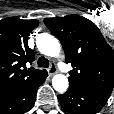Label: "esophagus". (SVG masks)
Returning a JSON list of instances; mask_svg holds the SVG:
<instances>
[{
  "label": "esophagus",
  "instance_id": "esophagus-1",
  "mask_svg": "<svg viewBox=\"0 0 114 114\" xmlns=\"http://www.w3.org/2000/svg\"><path fill=\"white\" fill-rule=\"evenodd\" d=\"M48 73L50 76H53L57 73V67L54 63L51 64L50 68L48 69Z\"/></svg>",
  "mask_w": 114,
  "mask_h": 114
}]
</instances>
